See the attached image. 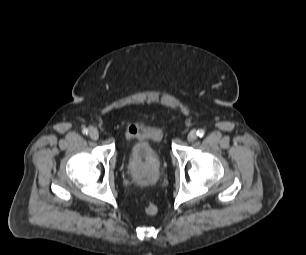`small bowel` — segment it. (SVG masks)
<instances>
[{
    "instance_id": "1",
    "label": "small bowel",
    "mask_w": 306,
    "mask_h": 255,
    "mask_svg": "<svg viewBox=\"0 0 306 255\" xmlns=\"http://www.w3.org/2000/svg\"><path fill=\"white\" fill-rule=\"evenodd\" d=\"M139 130L138 126H132L130 127V129L128 130V134H136Z\"/></svg>"
}]
</instances>
